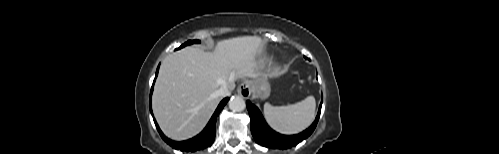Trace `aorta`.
Returning <instances> with one entry per match:
<instances>
[{"label":"aorta","instance_id":"1","mask_svg":"<svg viewBox=\"0 0 499 154\" xmlns=\"http://www.w3.org/2000/svg\"><path fill=\"white\" fill-rule=\"evenodd\" d=\"M245 107H246L245 101L240 96H233L229 100V108L233 112H241L245 109Z\"/></svg>","mask_w":499,"mask_h":154}]
</instances>
